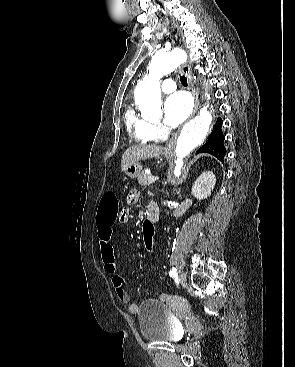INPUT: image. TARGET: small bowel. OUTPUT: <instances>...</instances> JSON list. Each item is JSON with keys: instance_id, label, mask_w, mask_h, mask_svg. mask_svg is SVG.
Wrapping results in <instances>:
<instances>
[{"instance_id": "small-bowel-1", "label": "small bowel", "mask_w": 295, "mask_h": 367, "mask_svg": "<svg viewBox=\"0 0 295 367\" xmlns=\"http://www.w3.org/2000/svg\"><path fill=\"white\" fill-rule=\"evenodd\" d=\"M138 199V192L131 190L127 196L129 203H134ZM130 214L129 208H121L118 222L125 225L128 222V215ZM114 222L105 223L103 221H97L98 226V240L100 244V254L104 265V270L112 275V285L115 290L116 296L120 302L128 304V311L130 313H136L139 310L137 304L130 303V296L124 288V279L118 274V268L114 256V248L112 245V236L114 232Z\"/></svg>"}]
</instances>
